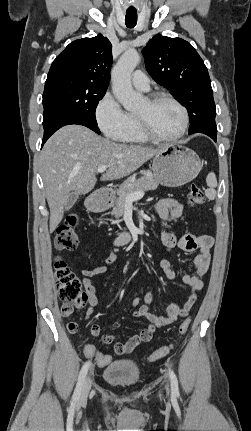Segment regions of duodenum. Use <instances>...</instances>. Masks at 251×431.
<instances>
[{"label":"duodenum","mask_w":251,"mask_h":431,"mask_svg":"<svg viewBox=\"0 0 251 431\" xmlns=\"http://www.w3.org/2000/svg\"><path fill=\"white\" fill-rule=\"evenodd\" d=\"M91 208H95L96 207V202L92 201L90 203ZM131 239V236L128 233H123L121 234L117 239H116V244L117 245H124L126 243H128Z\"/></svg>","instance_id":"1"}]
</instances>
